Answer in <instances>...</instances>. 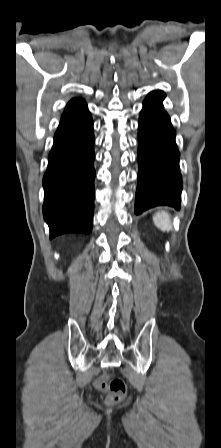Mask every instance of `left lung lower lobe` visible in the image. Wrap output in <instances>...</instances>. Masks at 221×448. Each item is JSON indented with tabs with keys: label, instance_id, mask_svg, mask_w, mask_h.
<instances>
[{
	"label": "left lung lower lobe",
	"instance_id": "0a47b994",
	"mask_svg": "<svg viewBox=\"0 0 221 448\" xmlns=\"http://www.w3.org/2000/svg\"><path fill=\"white\" fill-rule=\"evenodd\" d=\"M165 97L162 91L150 92L139 117L136 214L157 205L180 209V154L175 142L176 132L164 110Z\"/></svg>",
	"mask_w": 221,
	"mask_h": 448
}]
</instances>
